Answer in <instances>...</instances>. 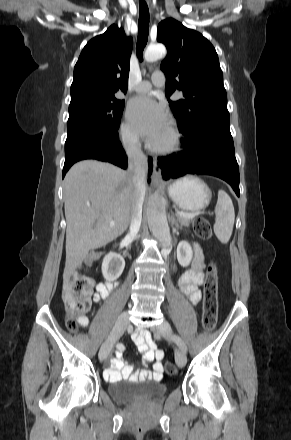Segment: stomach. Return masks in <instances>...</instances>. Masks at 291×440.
<instances>
[{"instance_id":"0dacf381","label":"stomach","mask_w":291,"mask_h":440,"mask_svg":"<svg viewBox=\"0 0 291 440\" xmlns=\"http://www.w3.org/2000/svg\"><path fill=\"white\" fill-rule=\"evenodd\" d=\"M172 200L185 211H199L207 207L212 192L208 185L196 176H187L168 187Z\"/></svg>"}]
</instances>
